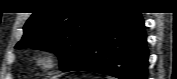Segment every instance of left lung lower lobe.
Returning a JSON list of instances; mask_svg holds the SVG:
<instances>
[{
  "label": "left lung lower lobe",
  "mask_w": 177,
  "mask_h": 79,
  "mask_svg": "<svg viewBox=\"0 0 177 79\" xmlns=\"http://www.w3.org/2000/svg\"><path fill=\"white\" fill-rule=\"evenodd\" d=\"M148 49L140 13L109 10L62 70H84L119 79H146Z\"/></svg>",
  "instance_id": "obj_1"
}]
</instances>
